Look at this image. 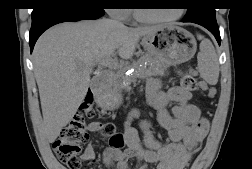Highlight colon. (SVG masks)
I'll return each mask as SVG.
<instances>
[{"label":"colon","mask_w":252,"mask_h":169,"mask_svg":"<svg viewBox=\"0 0 252 169\" xmlns=\"http://www.w3.org/2000/svg\"><path fill=\"white\" fill-rule=\"evenodd\" d=\"M181 86L185 90L194 91L201 87L208 91L210 95L213 90L206 85H199L193 73H186L181 78ZM94 115L93 96L89 93L86 100L81 105L80 111L62 129L59 137L54 141L53 148L58 159L64 163L68 169H83L89 162L82 153V146L88 140L84 117ZM101 135L109 138L110 144L120 148L123 145L122 135L116 131L114 124L104 123L101 127Z\"/></svg>","instance_id":"obj_1"}]
</instances>
